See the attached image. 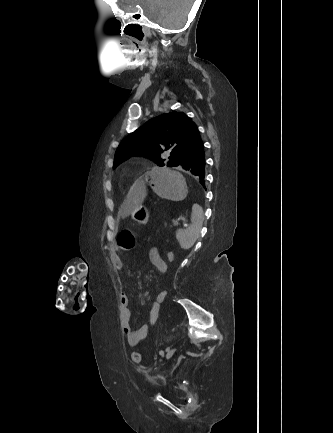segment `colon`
<instances>
[{"label":"colon","instance_id":"1","mask_svg":"<svg viewBox=\"0 0 333 433\" xmlns=\"http://www.w3.org/2000/svg\"><path fill=\"white\" fill-rule=\"evenodd\" d=\"M118 246L122 249H132L135 246V238L129 230H122L118 235ZM165 261L168 265H171L174 261V252L168 251L165 254ZM163 303L160 300L153 302V308L149 310V322L151 323V329L153 330L157 320L160 318V311ZM131 359L134 363L138 364L141 362V354L139 352H133Z\"/></svg>","mask_w":333,"mask_h":433}]
</instances>
